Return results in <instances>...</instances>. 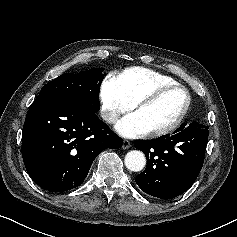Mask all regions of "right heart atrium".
Instances as JSON below:
<instances>
[{
    "label": "right heart atrium",
    "mask_w": 237,
    "mask_h": 237,
    "mask_svg": "<svg viewBox=\"0 0 237 237\" xmlns=\"http://www.w3.org/2000/svg\"><path fill=\"white\" fill-rule=\"evenodd\" d=\"M99 100L101 117L109 124L115 123L122 114L134 107V104L124 95L113 76H107L101 82Z\"/></svg>",
    "instance_id": "right-heart-atrium-1"
}]
</instances>
